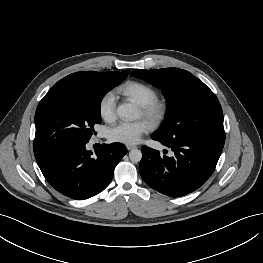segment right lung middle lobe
Masks as SVG:
<instances>
[{
	"mask_svg": "<svg viewBox=\"0 0 263 263\" xmlns=\"http://www.w3.org/2000/svg\"><path fill=\"white\" fill-rule=\"evenodd\" d=\"M127 75L108 72L75 88L49 91L35 113V157L58 147L89 141L94 125L101 122L102 98Z\"/></svg>",
	"mask_w": 263,
	"mask_h": 263,
	"instance_id": "1",
	"label": "right lung middle lobe"
}]
</instances>
